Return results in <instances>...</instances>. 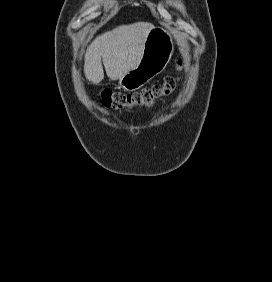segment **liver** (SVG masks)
<instances>
[{
  "mask_svg": "<svg viewBox=\"0 0 272 282\" xmlns=\"http://www.w3.org/2000/svg\"><path fill=\"white\" fill-rule=\"evenodd\" d=\"M153 27L148 22H137L121 25L96 37L85 54L84 73L87 80L98 84L104 79L102 62L111 80H119L135 68Z\"/></svg>",
  "mask_w": 272,
  "mask_h": 282,
  "instance_id": "liver-1",
  "label": "liver"
}]
</instances>
